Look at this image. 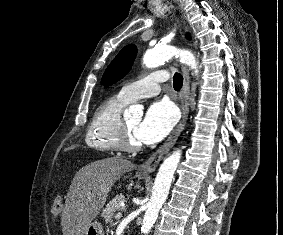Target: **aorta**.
Instances as JSON below:
<instances>
[{
    "label": "aorta",
    "mask_w": 283,
    "mask_h": 235,
    "mask_svg": "<svg viewBox=\"0 0 283 235\" xmlns=\"http://www.w3.org/2000/svg\"><path fill=\"white\" fill-rule=\"evenodd\" d=\"M173 56L179 57L182 63L191 67V69L195 71L196 75L198 74L197 62L194 55L187 50H181L174 46H156L153 49L146 51L143 56V63L147 68H156L161 63L171 59ZM142 114L143 112L141 107L133 105L125 111L124 115L125 117H141ZM180 158L181 150L174 151L163 161L158 170L153 185L152 196L147 203L141 226V233L144 235L149 234L158 217L159 210L169 194L170 186Z\"/></svg>",
    "instance_id": "762f6f07"
}]
</instances>
